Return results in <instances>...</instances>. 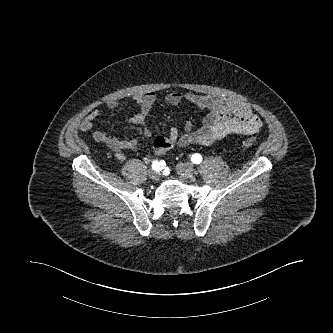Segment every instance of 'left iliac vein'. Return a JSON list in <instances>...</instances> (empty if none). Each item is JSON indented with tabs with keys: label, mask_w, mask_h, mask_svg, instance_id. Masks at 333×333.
I'll return each mask as SVG.
<instances>
[{
	"label": "left iliac vein",
	"mask_w": 333,
	"mask_h": 333,
	"mask_svg": "<svg viewBox=\"0 0 333 333\" xmlns=\"http://www.w3.org/2000/svg\"><path fill=\"white\" fill-rule=\"evenodd\" d=\"M176 170L178 174H180L182 177L186 179H193L194 178V169L193 167L188 163L180 162L176 165Z\"/></svg>",
	"instance_id": "obj_1"
}]
</instances>
